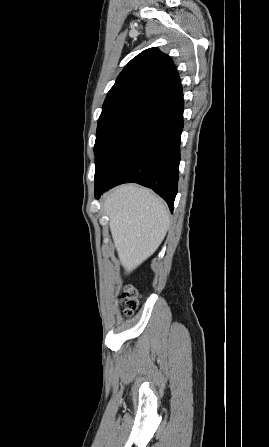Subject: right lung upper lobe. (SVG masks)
Listing matches in <instances>:
<instances>
[{
	"label": "right lung upper lobe",
	"instance_id": "1",
	"mask_svg": "<svg viewBox=\"0 0 269 447\" xmlns=\"http://www.w3.org/2000/svg\"><path fill=\"white\" fill-rule=\"evenodd\" d=\"M179 82L171 58L157 48L147 49L133 58L119 74L107 94L101 115L123 108H143L165 89Z\"/></svg>",
	"mask_w": 269,
	"mask_h": 447
}]
</instances>
